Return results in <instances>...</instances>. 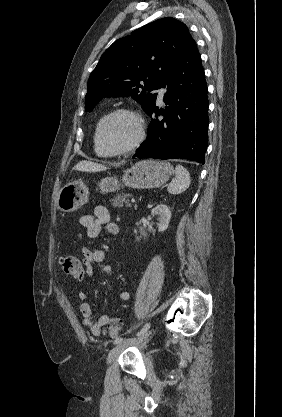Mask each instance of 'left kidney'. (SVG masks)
Returning <instances> with one entry per match:
<instances>
[{
    "label": "left kidney",
    "mask_w": 282,
    "mask_h": 417,
    "mask_svg": "<svg viewBox=\"0 0 282 417\" xmlns=\"http://www.w3.org/2000/svg\"><path fill=\"white\" fill-rule=\"evenodd\" d=\"M151 215H157L159 217L158 231H166L171 219V211H169L166 204H157L155 209H152ZM137 241H140V237H136Z\"/></svg>",
    "instance_id": "1"
}]
</instances>
